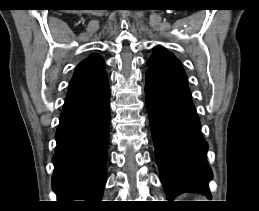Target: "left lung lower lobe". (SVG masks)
Masks as SVG:
<instances>
[{
  "mask_svg": "<svg viewBox=\"0 0 259 211\" xmlns=\"http://www.w3.org/2000/svg\"><path fill=\"white\" fill-rule=\"evenodd\" d=\"M146 105L155 157L167 198L197 192L211 198L212 178L206 161L208 144L188 87L167 85L145 77Z\"/></svg>",
  "mask_w": 259,
  "mask_h": 211,
  "instance_id": "1",
  "label": "left lung lower lobe"
}]
</instances>
